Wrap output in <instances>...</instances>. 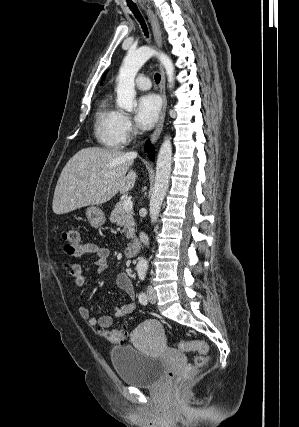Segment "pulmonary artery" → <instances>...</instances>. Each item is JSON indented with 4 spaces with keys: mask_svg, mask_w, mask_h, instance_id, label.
<instances>
[{
    "mask_svg": "<svg viewBox=\"0 0 299 427\" xmlns=\"http://www.w3.org/2000/svg\"><path fill=\"white\" fill-rule=\"evenodd\" d=\"M136 87L141 90H147L151 86L150 79L145 75H140L135 80Z\"/></svg>",
    "mask_w": 299,
    "mask_h": 427,
    "instance_id": "obj_1",
    "label": "pulmonary artery"
}]
</instances>
